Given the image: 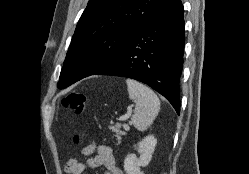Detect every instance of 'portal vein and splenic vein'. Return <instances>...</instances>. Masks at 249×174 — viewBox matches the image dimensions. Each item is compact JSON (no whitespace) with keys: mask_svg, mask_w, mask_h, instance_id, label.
Returning <instances> with one entry per match:
<instances>
[{"mask_svg":"<svg viewBox=\"0 0 249 174\" xmlns=\"http://www.w3.org/2000/svg\"><path fill=\"white\" fill-rule=\"evenodd\" d=\"M128 118H129V114L120 117V120H121V121H124V120H127ZM123 128H124L126 131L129 130V126H128L127 124H124V125H123Z\"/></svg>","mask_w":249,"mask_h":174,"instance_id":"1","label":"portal vein and splenic vein"}]
</instances>
